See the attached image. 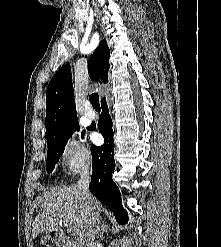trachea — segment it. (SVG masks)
<instances>
[{
	"mask_svg": "<svg viewBox=\"0 0 221 247\" xmlns=\"http://www.w3.org/2000/svg\"><path fill=\"white\" fill-rule=\"evenodd\" d=\"M90 103L92 104L93 108L96 110H100V103H99V95L98 93H93L89 96Z\"/></svg>",
	"mask_w": 221,
	"mask_h": 247,
	"instance_id": "trachea-1",
	"label": "trachea"
}]
</instances>
